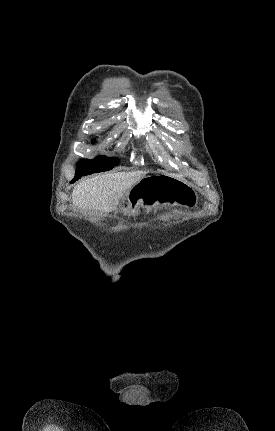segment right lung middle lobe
Instances as JSON below:
<instances>
[{
	"mask_svg": "<svg viewBox=\"0 0 275 431\" xmlns=\"http://www.w3.org/2000/svg\"><path fill=\"white\" fill-rule=\"evenodd\" d=\"M118 158H106L104 156L96 157L93 160L82 159L79 161L76 174L73 180H78L82 176L92 173L103 172L112 169L118 165Z\"/></svg>",
	"mask_w": 275,
	"mask_h": 431,
	"instance_id": "right-lung-middle-lobe-1",
	"label": "right lung middle lobe"
}]
</instances>
